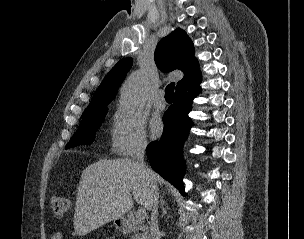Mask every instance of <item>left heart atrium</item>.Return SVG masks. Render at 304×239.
<instances>
[{
	"mask_svg": "<svg viewBox=\"0 0 304 239\" xmlns=\"http://www.w3.org/2000/svg\"><path fill=\"white\" fill-rule=\"evenodd\" d=\"M162 130H163L162 121L159 118L154 119L153 122H152V125H151L152 135L154 137H157L161 134Z\"/></svg>",
	"mask_w": 304,
	"mask_h": 239,
	"instance_id": "1",
	"label": "left heart atrium"
}]
</instances>
